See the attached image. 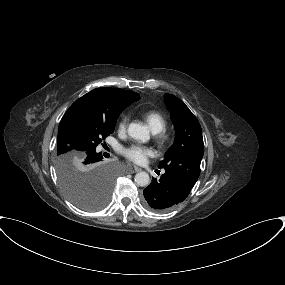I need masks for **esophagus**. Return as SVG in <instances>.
<instances>
[{
    "instance_id": "34e87169",
    "label": "esophagus",
    "mask_w": 285,
    "mask_h": 285,
    "mask_svg": "<svg viewBox=\"0 0 285 285\" xmlns=\"http://www.w3.org/2000/svg\"><path fill=\"white\" fill-rule=\"evenodd\" d=\"M141 170H142V169L139 168V167H136V166L134 167V171H135V172H140Z\"/></svg>"
}]
</instances>
